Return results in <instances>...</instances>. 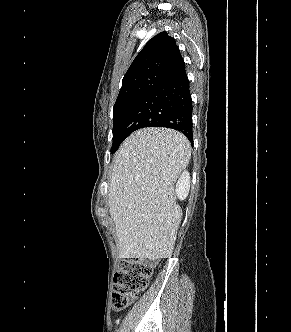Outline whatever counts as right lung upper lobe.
Instances as JSON below:
<instances>
[{
	"label": "right lung upper lobe",
	"instance_id": "1",
	"mask_svg": "<svg viewBox=\"0 0 291 332\" xmlns=\"http://www.w3.org/2000/svg\"><path fill=\"white\" fill-rule=\"evenodd\" d=\"M185 70L175 40L166 32L151 38L127 70L117 100L152 91L170 77Z\"/></svg>",
	"mask_w": 291,
	"mask_h": 332
}]
</instances>
